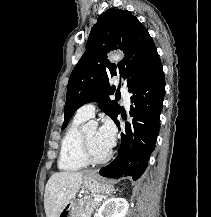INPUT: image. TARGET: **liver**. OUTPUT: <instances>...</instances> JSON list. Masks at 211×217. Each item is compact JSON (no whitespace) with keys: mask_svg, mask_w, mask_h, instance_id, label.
I'll list each match as a JSON object with an SVG mask.
<instances>
[{"mask_svg":"<svg viewBox=\"0 0 211 217\" xmlns=\"http://www.w3.org/2000/svg\"><path fill=\"white\" fill-rule=\"evenodd\" d=\"M84 173L57 172L48 180L44 194L46 217H58L63 206L78 192Z\"/></svg>","mask_w":211,"mask_h":217,"instance_id":"1","label":"liver"}]
</instances>
